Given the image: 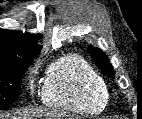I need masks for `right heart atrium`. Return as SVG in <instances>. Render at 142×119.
<instances>
[{
    "label": "right heart atrium",
    "mask_w": 142,
    "mask_h": 119,
    "mask_svg": "<svg viewBox=\"0 0 142 119\" xmlns=\"http://www.w3.org/2000/svg\"><path fill=\"white\" fill-rule=\"evenodd\" d=\"M34 71H35V70H32V71H31V75L34 73ZM29 84H30V86L32 87V80H31V76H30V78H29Z\"/></svg>",
    "instance_id": "d8ad5b80"
}]
</instances>
